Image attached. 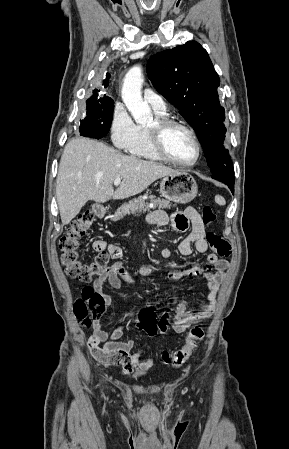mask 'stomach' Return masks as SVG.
I'll return each instance as SVG.
<instances>
[{"mask_svg": "<svg viewBox=\"0 0 289 449\" xmlns=\"http://www.w3.org/2000/svg\"><path fill=\"white\" fill-rule=\"evenodd\" d=\"M160 193L167 200L186 204L196 197L198 186L190 174L184 171H177L163 177L160 181Z\"/></svg>", "mask_w": 289, "mask_h": 449, "instance_id": "stomach-1", "label": "stomach"}]
</instances>
